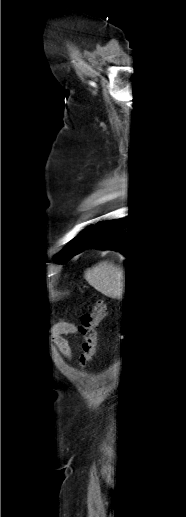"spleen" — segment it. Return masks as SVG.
<instances>
[{
    "label": "spleen",
    "mask_w": 186,
    "mask_h": 517,
    "mask_svg": "<svg viewBox=\"0 0 186 517\" xmlns=\"http://www.w3.org/2000/svg\"><path fill=\"white\" fill-rule=\"evenodd\" d=\"M84 278L97 291L110 297L122 299L125 289V271L112 262L103 261L88 269Z\"/></svg>",
    "instance_id": "spleen-1"
}]
</instances>
